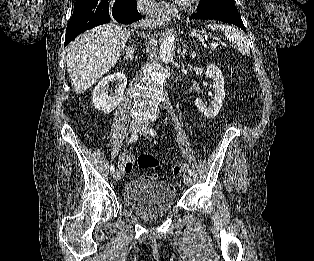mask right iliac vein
<instances>
[{
    "label": "right iliac vein",
    "instance_id": "obj_1",
    "mask_svg": "<svg viewBox=\"0 0 314 261\" xmlns=\"http://www.w3.org/2000/svg\"><path fill=\"white\" fill-rule=\"evenodd\" d=\"M139 128H140V124H139L138 122L134 121V122H132V123L130 124V126H129V131H130V133H136V132L139 130ZM113 178H114V180H116V181H119V180H120V178H121V173H120L119 170L114 171V173H113Z\"/></svg>",
    "mask_w": 314,
    "mask_h": 261
}]
</instances>
